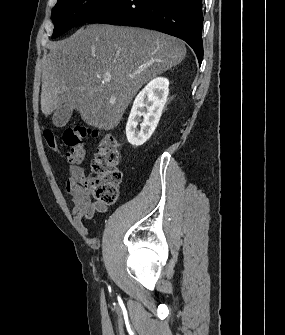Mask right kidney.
Listing matches in <instances>:
<instances>
[{
	"instance_id": "ca27d5eb",
	"label": "right kidney",
	"mask_w": 285,
	"mask_h": 335,
	"mask_svg": "<svg viewBox=\"0 0 285 335\" xmlns=\"http://www.w3.org/2000/svg\"><path fill=\"white\" fill-rule=\"evenodd\" d=\"M169 94V80L167 78H154L138 96H136L128 122L126 136L132 146H142L152 136L167 102ZM143 118V120H141ZM141 122V130H137Z\"/></svg>"
}]
</instances>
